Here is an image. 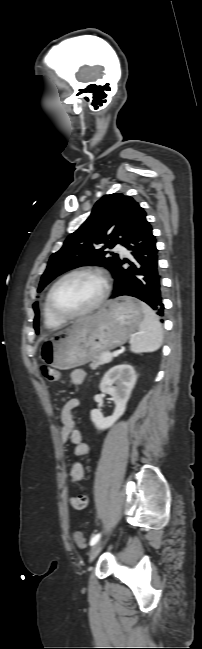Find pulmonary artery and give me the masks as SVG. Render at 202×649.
Masks as SVG:
<instances>
[{
    "instance_id": "1",
    "label": "pulmonary artery",
    "mask_w": 202,
    "mask_h": 649,
    "mask_svg": "<svg viewBox=\"0 0 202 649\" xmlns=\"http://www.w3.org/2000/svg\"><path fill=\"white\" fill-rule=\"evenodd\" d=\"M116 248H117L118 250H120L122 253H127L126 249H125L122 245H120V244H117V245H116Z\"/></svg>"
}]
</instances>
